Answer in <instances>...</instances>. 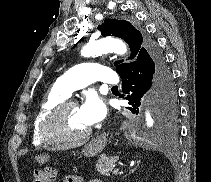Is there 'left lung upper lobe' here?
<instances>
[{
    "mask_svg": "<svg viewBox=\"0 0 211 182\" xmlns=\"http://www.w3.org/2000/svg\"><path fill=\"white\" fill-rule=\"evenodd\" d=\"M103 36H116L126 41L131 50V59L129 63L115 62L116 71L119 75L127 71L134 63L139 52L148 46L149 42L143 40L142 34L135 29L128 21H120L115 19H105L102 25L98 26ZM176 116L175 114L167 121L172 123ZM166 123V124H167Z\"/></svg>",
    "mask_w": 211,
    "mask_h": 182,
    "instance_id": "obj_1",
    "label": "left lung upper lobe"
}]
</instances>
